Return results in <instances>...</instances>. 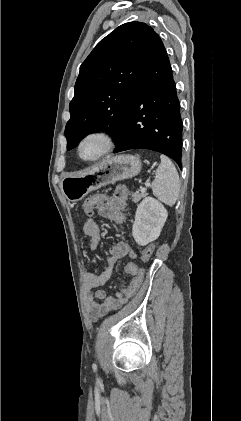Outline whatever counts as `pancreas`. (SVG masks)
<instances>
[{
	"mask_svg": "<svg viewBox=\"0 0 241 421\" xmlns=\"http://www.w3.org/2000/svg\"><path fill=\"white\" fill-rule=\"evenodd\" d=\"M147 194L146 193H139V192H135L132 194V201L134 203L139 202L142 198H144Z\"/></svg>",
	"mask_w": 241,
	"mask_h": 421,
	"instance_id": "obj_1",
	"label": "pancreas"
}]
</instances>
